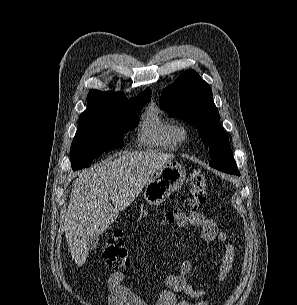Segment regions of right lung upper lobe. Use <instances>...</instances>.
Returning <instances> with one entry per match:
<instances>
[{"instance_id": "1", "label": "right lung upper lobe", "mask_w": 297, "mask_h": 305, "mask_svg": "<svg viewBox=\"0 0 297 305\" xmlns=\"http://www.w3.org/2000/svg\"><path fill=\"white\" fill-rule=\"evenodd\" d=\"M151 98V91L147 89L144 93L133 98L132 101H140ZM129 102L124 93L103 92L99 90H91L87 96V110L89 109H105L120 103Z\"/></svg>"}]
</instances>
